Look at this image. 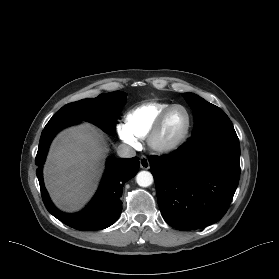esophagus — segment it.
Segmentation results:
<instances>
[{
    "instance_id": "obj_1",
    "label": "esophagus",
    "mask_w": 279,
    "mask_h": 279,
    "mask_svg": "<svg viewBox=\"0 0 279 279\" xmlns=\"http://www.w3.org/2000/svg\"><path fill=\"white\" fill-rule=\"evenodd\" d=\"M140 167L142 169H149L150 163H149V160H148V158L146 156H142L140 158Z\"/></svg>"
}]
</instances>
